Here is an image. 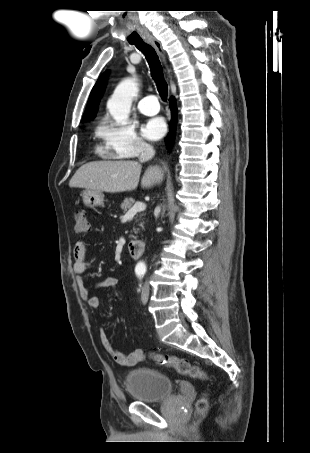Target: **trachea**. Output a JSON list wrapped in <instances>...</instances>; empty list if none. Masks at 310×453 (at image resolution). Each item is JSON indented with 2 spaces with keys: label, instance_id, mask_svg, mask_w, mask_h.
I'll list each match as a JSON object with an SVG mask.
<instances>
[{
  "label": "trachea",
  "instance_id": "3493384b",
  "mask_svg": "<svg viewBox=\"0 0 310 453\" xmlns=\"http://www.w3.org/2000/svg\"><path fill=\"white\" fill-rule=\"evenodd\" d=\"M130 44L135 45L136 48L144 54L151 69L152 78L157 85L158 92L162 99L166 100L168 95V85L164 80L163 68L156 51L151 45L147 44L143 40L133 41L130 42Z\"/></svg>",
  "mask_w": 310,
  "mask_h": 453
}]
</instances>
